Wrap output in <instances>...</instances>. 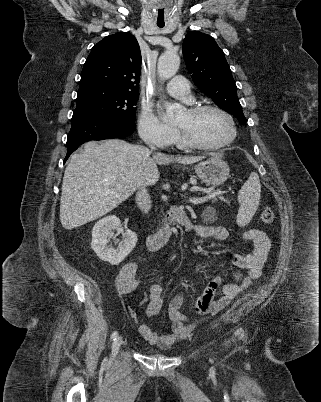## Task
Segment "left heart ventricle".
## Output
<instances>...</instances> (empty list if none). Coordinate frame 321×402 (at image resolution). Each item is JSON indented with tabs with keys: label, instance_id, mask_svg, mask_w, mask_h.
<instances>
[{
	"label": "left heart ventricle",
	"instance_id": "left-heart-ventricle-1",
	"mask_svg": "<svg viewBox=\"0 0 321 402\" xmlns=\"http://www.w3.org/2000/svg\"><path fill=\"white\" fill-rule=\"evenodd\" d=\"M175 125L204 144L219 143L231 132L227 119L215 110H205L197 114L186 110L176 119Z\"/></svg>",
	"mask_w": 321,
	"mask_h": 402
}]
</instances>
